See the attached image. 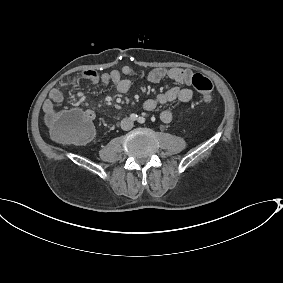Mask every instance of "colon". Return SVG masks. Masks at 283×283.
I'll use <instances>...</instances> for the list:
<instances>
[{
    "instance_id": "5ec220e1",
    "label": "colon",
    "mask_w": 283,
    "mask_h": 283,
    "mask_svg": "<svg viewBox=\"0 0 283 283\" xmlns=\"http://www.w3.org/2000/svg\"><path fill=\"white\" fill-rule=\"evenodd\" d=\"M193 87L202 95L205 103L211 101L213 85L206 76L196 73L192 77ZM47 124L52 136L71 144H85L94 134L92 119L78 109H70L52 113L47 117Z\"/></svg>"
}]
</instances>
